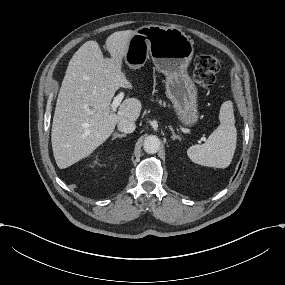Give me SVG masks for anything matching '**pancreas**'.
I'll use <instances>...</instances> for the list:
<instances>
[{
  "mask_svg": "<svg viewBox=\"0 0 285 285\" xmlns=\"http://www.w3.org/2000/svg\"><path fill=\"white\" fill-rule=\"evenodd\" d=\"M159 104H162L164 107L166 106V103L165 102L162 103L161 100H159Z\"/></svg>",
  "mask_w": 285,
  "mask_h": 285,
  "instance_id": "obj_1",
  "label": "pancreas"
}]
</instances>
